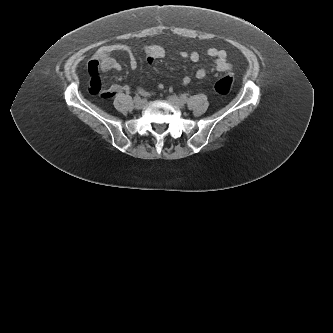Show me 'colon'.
<instances>
[{"label":"colon","instance_id":"5ec220e1","mask_svg":"<svg viewBox=\"0 0 333 333\" xmlns=\"http://www.w3.org/2000/svg\"><path fill=\"white\" fill-rule=\"evenodd\" d=\"M234 79L231 75H225L216 81L214 85V90L217 94L226 96L230 93L233 87Z\"/></svg>","mask_w":333,"mask_h":333}]
</instances>
